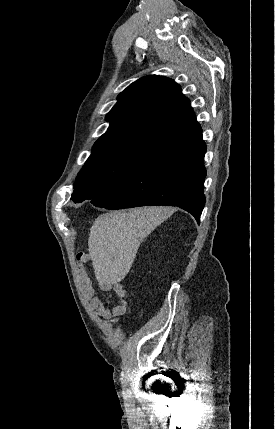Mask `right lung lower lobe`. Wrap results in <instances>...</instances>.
Here are the masks:
<instances>
[{"label": "right lung lower lobe", "instance_id": "1", "mask_svg": "<svg viewBox=\"0 0 275 429\" xmlns=\"http://www.w3.org/2000/svg\"><path fill=\"white\" fill-rule=\"evenodd\" d=\"M205 152L201 132L186 137L148 158L123 182L91 203L106 209L178 206L199 221L205 205Z\"/></svg>", "mask_w": 275, "mask_h": 429}]
</instances>
